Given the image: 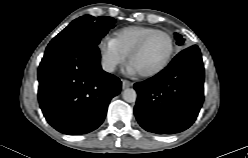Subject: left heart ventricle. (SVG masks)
<instances>
[{
    "instance_id": "b2bd125f",
    "label": "left heart ventricle",
    "mask_w": 248,
    "mask_h": 158,
    "mask_svg": "<svg viewBox=\"0 0 248 158\" xmlns=\"http://www.w3.org/2000/svg\"><path fill=\"white\" fill-rule=\"evenodd\" d=\"M170 48L168 38L162 34L153 35L131 63L138 72L155 69L165 60Z\"/></svg>"
}]
</instances>
